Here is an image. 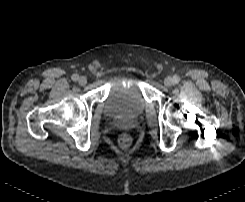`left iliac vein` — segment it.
I'll return each mask as SVG.
<instances>
[{
	"instance_id": "4c4485c4",
	"label": "left iliac vein",
	"mask_w": 245,
	"mask_h": 202,
	"mask_svg": "<svg viewBox=\"0 0 245 202\" xmlns=\"http://www.w3.org/2000/svg\"><path fill=\"white\" fill-rule=\"evenodd\" d=\"M164 84L168 87L171 86L173 84V79L171 77H166L164 80Z\"/></svg>"
}]
</instances>
